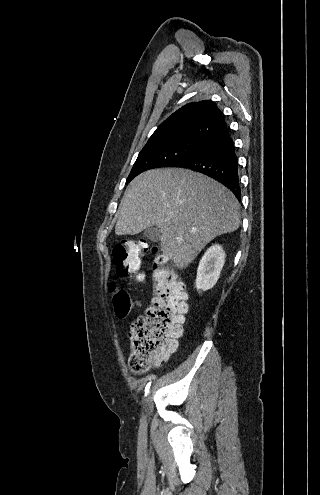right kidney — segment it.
<instances>
[{
    "instance_id": "1",
    "label": "right kidney",
    "mask_w": 320,
    "mask_h": 495,
    "mask_svg": "<svg viewBox=\"0 0 320 495\" xmlns=\"http://www.w3.org/2000/svg\"><path fill=\"white\" fill-rule=\"evenodd\" d=\"M225 257V252L220 245H213L205 252L197 269V290L207 291L215 286L222 271Z\"/></svg>"
}]
</instances>
